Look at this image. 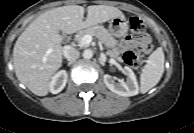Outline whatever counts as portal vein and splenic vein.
I'll return each mask as SVG.
<instances>
[{"mask_svg":"<svg viewBox=\"0 0 194 133\" xmlns=\"http://www.w3.org/2000/svg\"><path fill=\"white\" fill-rule=\"evenodd\" d=\"M93 40V37L91 35H85L83 38H82V44L83 45H88L92 42ZM52 52V49H48L47 50V54H50Z\"/></svg>","mask_w":194,"mask_h":133,"instance_id":"obj_1","label":"portal vein and splenic vein"}]
</instances>
